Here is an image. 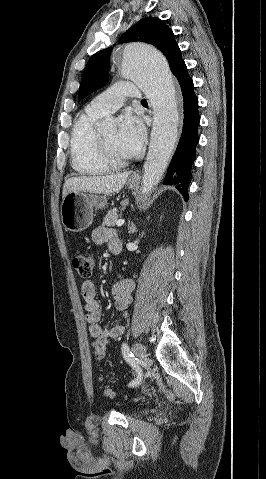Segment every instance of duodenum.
<instances>
[{
	"mask_svg": "<svg viewBox=\"0 0 266 479\" xmlns=\"http://www.w3.org/2000/svg\"><path fill=\"white\" fill-rule=\"evenodd\" d=\"M110 250L113 254H119L121 252V245L118 242L113 241L110 245Z\"/></svg>",
	"mask_w": 266,
	"mask_h": 479,
	"instance_id": "410a0bca",
	"label": "duodenum"
}]
</instances>
